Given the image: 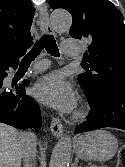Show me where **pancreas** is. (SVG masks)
I'll return each mask as SVG.
<instances>
[{
	"mask_svg": "<svg viewBox=\"0 0 125 167\" xmlns=\"http://www.w3.org/2000/svg\"><path fill=\"white\" fill-rule=\"evenodd\" d=\"M93 167H102V166H93Z\"/></svg>",
	"mask_w": 125,
	"mask_h": 167,
	"instance_id": "cf45deb5",
	"label": "pancreas"
}]
</instances>
